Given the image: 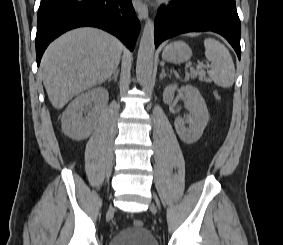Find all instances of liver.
Listing matches in <instances>:
<instances>
[{
  "label": "liver",
  "instance_id": "liver-1",
  "mask_svg": "<svg viewBox=\"0 0 283 245\" xmlns=\"http://www.w3.org/2000/svg\"><path fill=\"white\" fill-rule=\"evenodd\" d=\"M123 46L96 28L65 33L45 51L40 74L51 104L63 108L74 96L105 82L117 69Z\"/></svg>",
  "mask_w": 283,
  "mask_h": 245
}]
</instances>
